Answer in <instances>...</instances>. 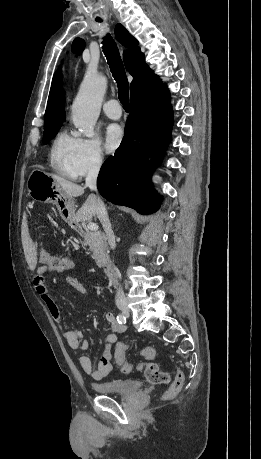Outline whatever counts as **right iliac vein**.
<instances>
[{"label":"right iliac vein","mask_w":261,"mask_h":459,"mask_svg":"<svg viewBox=\"0 0 261 459\" xmlns=\"http://www.w3.org/2000/svg\"><path fill=\"white\" fill-rule=\"evenodd\" d=\"M118 307L123 313H129V308H128L127 303H120Z\"/></svg>","instance_id":"1"}]
</instances>
